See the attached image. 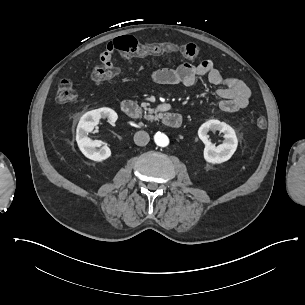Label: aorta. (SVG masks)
Returning <instances> with one entry per match:
<instances>
[{
	"mask_svg": "<svg viewBox=\"0 0 305 305\" xmlns=\"http://www.w3.org/2000/svg\"><path fill=\"white\" fill-rule=\"evenodd\" d=\"M154 141L160 147H166L169 144L168 137L164 133H161V132H157L154 135Z\"/></svg>",
	"mask_w": 305,
	"mask_h": 305,
	"instance_id": "1",
	"label": "aorta"
}]
</instances>
